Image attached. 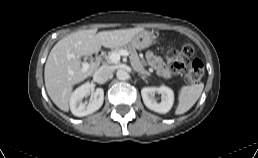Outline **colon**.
<instances>
[{
  "mask_svg": "<svg viewBox=\"0 0 258 158\" xmlns=\"http://www.w3.org/2000/svg\"><path fill=\"white\" fill-rule=\"evenodd\" d=\"M194 49L190 44H182L168 53V62L171 71L185 72L187 83H197L203 75V63L199 59H192Z\"/></svg>",
  "mask_w": 258,
  "mask_h": 158,
  "instance_id": "1",
  "label": "colon"
}]
</instances>
